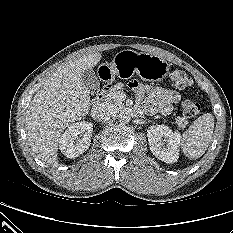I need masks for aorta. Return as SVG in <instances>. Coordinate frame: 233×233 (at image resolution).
Returning <instances> with one entry per match:
<instances>
[{
    "instance_id": "1",
    "label": "aorta",
    "mask_w": 233,
    "mask_h": 233,
    "mask_svg": "<svg viewBox=\"0 0 233 233\" xmlns=\"http://www.w3.org/2000/svg\"><path fill=\"white\" fill-rule=\"evenodd\" d=\"M118 120L120 123L126 124L130 122V115L127 112H121L118 115Z\"/></svg>"
}]
</instances>
